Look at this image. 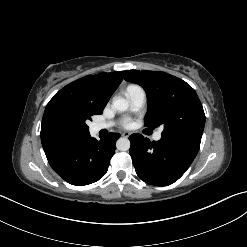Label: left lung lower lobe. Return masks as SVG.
I'll list each match as a JSON object with an SVG mask.
<instances>
[{
	"instance_id": "obj_1",
	"label": "left lung lower lobe",
	"mask_w": 247,
	"mask_h": 247,
	"mask_svg": "<svg viewBox=\"0 0 247 247\" xmlns=\"http://www.w3.org/2000/svg\"><path fill=\"white\" fill-rule=\"evenodd\" d=\"M129 140L130 155L138 177L156 186H167L177 181L199 150L167 137L150 142L141 134H132Z\"/></svg>"
}]
</instances>
